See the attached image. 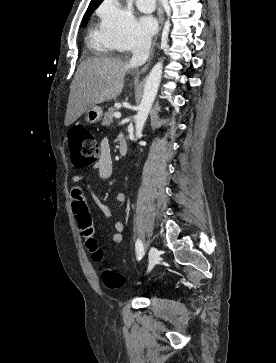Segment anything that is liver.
Listing matches in <instances>:
<instances>
[{
  "mask_svg": "<svg viewBox=\"0 0 276 363\" xmlns=\"http://www.w3.org/2000/svg\"><path fill=\"white\" fill-rule=\"evenodd\" d=\"M132 68L130 62L119 57H90L82 61L70 86L65 125L74 123L88 108L117 98L125 74Z\"/></svg>",
  "mask_w": 276,
  "mask_h": 363,
  "instance_id": "obj_1",
  "label": "liver"
}]
</instances>
